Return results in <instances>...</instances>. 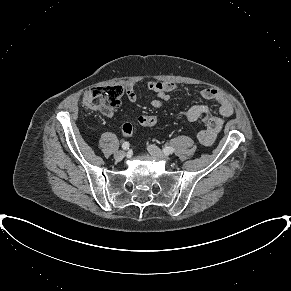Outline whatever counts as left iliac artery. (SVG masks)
Wrapping results in <instances>:
<instances>
[{
    "label": "left iliac artery",
    "mask_w": 291,
    "mask_h": 291,
    "mask_svg": "<svg viewBox=\"0 0 291 291\" xmlns=\"http://www.w3.org/2000/svg\"><path fill=\"white\" fill-rule=\"evenodd\" d=\"M163 152L168 155V154H172L174 152V148L173 147H170V146H165L163 148Z\"/></svg>",
    "instance_id": "obj_1"
}]
</instances>
